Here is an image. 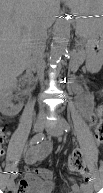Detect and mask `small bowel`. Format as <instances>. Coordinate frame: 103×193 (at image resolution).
<instances>
[{
	"mask_svg": "<svg viewBox=\"0 0 103 193\" xmlns=\"http://www.w3.org/2000/svg\"><path fill=\"white\" fill-rule=\"evenodd\" d=\"M78 104L86 116H91L95 105L94 97L89 93H82L78 97ZM8 132H6V137ZM5 137V139H6ZM5 142V140H4ZM51 151V144L44 141L41 144L28 149L24 154V160L27 165L35 164L36 162L46 158ZM3 153V151H2ZM24 179L19 181V184L14 188V193H53L55 191V178L57 174L44 168L32 169L29 166L23 169ZM12 177L15 175L12 174ZM13 179L11 178V181ZM13 185L10 189L13 190ZM87 183L78 184L72 177L68 178V182L60 193H89Z\"/></svg>",
	"mask_w": 103,
	"mask_h": 193,
	"instance_id": "c3829d8e",
	"label": "small bowel"
}]
</instances>
